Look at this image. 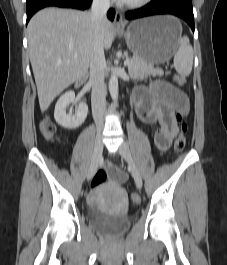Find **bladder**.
<instances>
[{"label": "bladder", "instance_id": "obj_1", "mask_svg": "<svg viewBox=\"0 0 227 265\" xmlns=\"http://www.w3.org/2000/svg\"><path fill=\"white\" fill-rule=\"evenodd\" d=\"M101 188L99 187V189ZM89 224L95 231L101 234L118 236L130 228L131 220L129 217H115L101 212H92Z\"/></svg>", "mask_w": 227, "mask_h": 265}]
</instances>
